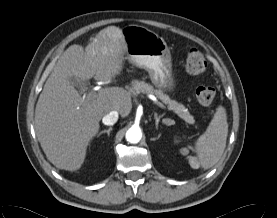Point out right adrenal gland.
<instances>
[{
	"label": "right adrenal gland",
	"instance_id": "1",
	"mask_svg": "<svg viewBox=\"0 0 277 218\" xmlns=\"http://www.w3.org/2000/svg\"><path fill=\"white\" fill-rule=\"evenodd\" d=\"M112 131V127L108 128L107 130H103L98 134V137L101 136L104 133H107L108 136H110V132Z\"/></svg>",
	"mask_w": 277,
	"mask_h": 218
}]
</instances>
